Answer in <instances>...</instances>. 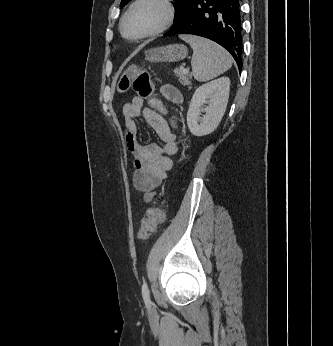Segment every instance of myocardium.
<instances>
[{"mask_svg": "<svg viewBox=\"0 0 333 346\" xmlns=\"http://www.w3.org/2000/svg\"><path fill=\"white\" fill-rule=\"evenodd\" d=\"M145 0H134L130 6L127 8V10L125 11V13L122 16V19L120 21V25H119V30L121 35L126 38V39H130V40H139V39H145V38H149V37H154L156 35H159L160 33L164 32L165 30H167L172 23L174 22L175 19V14H176V9H175V5L173 3V0H155L157 2H159L160 4L163 5V7L165 8V18L163 20V22L154 30L149 31L147 33L135 36V37H129L125 34L124 32V23L128 17V15L131 13V11L141 2H144Z\"/></svg>", "mask_w": 333, "mask_h": 346, "instance_id": "1", "label": "myocardium"}]
</instances>
